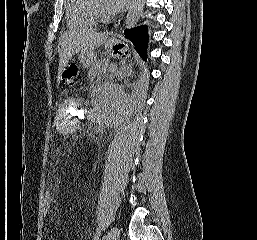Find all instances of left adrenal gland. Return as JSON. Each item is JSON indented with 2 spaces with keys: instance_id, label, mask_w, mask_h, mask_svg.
Here are the masks:
<instances>
[{
  "instance_id": "left-adrenal-gland-1",
  "label": "left adrenal gland",
  "mask_w": 257,
  "mask_h": 240,
  "mask_svg": "<svg viewBox=\"0 0 257 240\" xmlns=\"http://www.w3.org/2000/svg\"><path fill=\"white\" fill-rule=\"evenodd\" d=\"M129 71V66H127L126 64H123L115 73H114V77H122L123 75H125L126 73H128Z\"/></svg>"
}]
</instances>
